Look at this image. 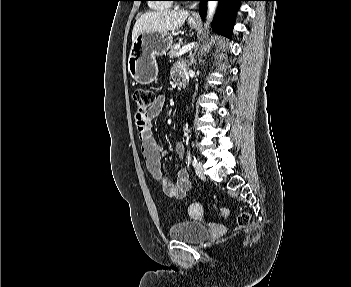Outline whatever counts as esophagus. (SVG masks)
<instances>
[{
  "mask_svg": "<svg viewBox=\"0 0 351 287\" xmlns=\"http://www.w3.org/2000/svg\"><path fill=\"white\" fill-rule=\"evenodd\" d=\"M190 18H197V15L195 13H192V15L190 16Z\"/></svg>",
  "mask_w": 351,
  "mask_h": 287,
  "instance_id": "obj_1",
  "label": "esophagus"
}]
</instances>
